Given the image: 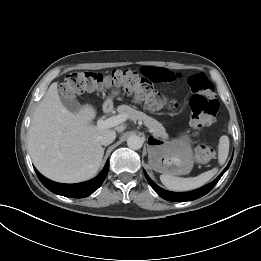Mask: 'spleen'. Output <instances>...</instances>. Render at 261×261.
Listing matches in <instances>:
<instances>
[{
	"label": "spleen",
	"instance_id": "3e777b00",
	"mask_svg": "<svg viewBox=\"0 0 261 261\" xmlns=\"http://www.w3.org/2000/svg\"><path fill=\"white\" fill-rule=\"evenodd\" d=\"M229 153V138L224 135L221 136L218 145V160L220 164H224ZM217 169L206 171L199 176L190 178H179L168 174H162L160 180L162 184L171 191H189L203 186L215 174Z\"/></svg>",
	"mask_w": 261,
	"mask_h": 261
}]
</instances>
